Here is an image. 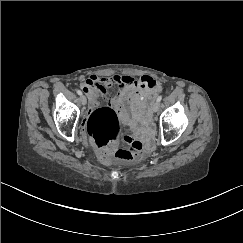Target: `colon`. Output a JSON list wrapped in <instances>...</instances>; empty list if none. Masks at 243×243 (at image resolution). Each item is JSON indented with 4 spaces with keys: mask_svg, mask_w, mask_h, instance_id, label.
<instances>
[{
    "mask_svg": "<svg viewBox=\"0 0 243 243\" xmlns=\"http://www.w3.org/2000/svg\"><path fill=\"white\" fill-rule=\"evenodd\" d=\"M121 127V120L112 108L96 109L89 116L87 130L103 160L134 161L142 156L146 145L139 139L128 138L127 146L119 148Z\"/></svg>",
    "mask_w": 243,
    "mask_h": 243,
    "instance_id": "obj_1",
    "label": "colon"
}]
</instances>
